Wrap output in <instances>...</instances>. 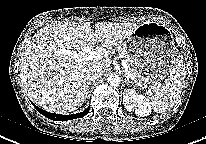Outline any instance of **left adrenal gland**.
I'll return each instance as SVG.
<instances>
[{
    "instance_id": "a2214340",
    "label": "left adrenal gland",
    "mask_w": 206,
    "mask_h": 144,
    "mask_svg": "<svg viewBox=\"0 0 206 144\" xmlns=\"http://www.w3.org/2000/svg\"><path fill=\"white\" fill-rule=\"evenodd\" d=\"M126 83L129 85L131 82L130 80L126 77Z\"/></svg>"
}]
</instances>
